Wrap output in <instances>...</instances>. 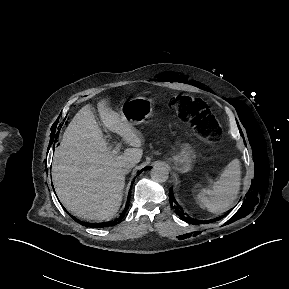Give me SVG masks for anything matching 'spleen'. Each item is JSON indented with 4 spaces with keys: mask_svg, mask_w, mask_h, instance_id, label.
Returning a JSON list of instances; mask_svg holds the SVG:
<instances>
[{
    "mask_svg": "<svg viewBox=\"0 0 289 289\" xmlns=\"http://www.w3.org/2000/svg\"><path fill=\"white\" fill-rule=\"evenodd\" d=\"M241 164L232 160L209 189L197 195L199 205L214 214L228 211L234 204L240 191Z\"/></svg>",
    "mask_w": 289,
    "mask_h": 289,
    "instance_id": "obj_1",
    "label": "spleen"
}]
</instances>
